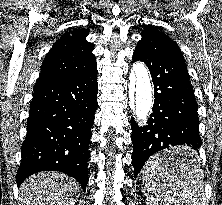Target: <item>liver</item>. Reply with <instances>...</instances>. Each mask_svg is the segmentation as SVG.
I'll list each match as a JSON object with an SVG mask.
<instances>
[{
    "instance_id": "obj_1",
    "label": "liver",
    "mask_w": 222,
    "mask_h": 205,
    "mask_svg": "<svg viewBox=\"0 0 222 205\" xmlns=\"http://www.w3.org/2000/svg\"><path fill=\"white\" fill-rule=\"evenodd\" d=\"M80 190V185L65 174L41 172L23 182L19 205H74Z\"/></svg>"
}]
</instances>
